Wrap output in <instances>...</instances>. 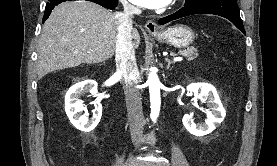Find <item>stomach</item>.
Here are the masks:
<instances>
[{
    "label": "stomach",
    "mask_w": 277,
    "mask_h": 166,
    "mask_svg": "<svg viewBox=\"0 0 277 166\" xmlns=\"http://www.w3.org/2000/svg\"><path fill=\"white\" fill-rule=\"evenodd\" d=\"M153 37L160 42L168 43L174 47L184 48L193 43L195 33L186 25H175L159 33H154Z\"/></svg>",
    "instance_id": "obj_1"
}]
</instances>
